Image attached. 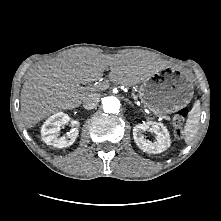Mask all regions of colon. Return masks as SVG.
<instances>
[{"label":"colon","mask_w":221,"mask_h":221,"mask_svg":"<svg viewBox=\"0 0 221 221\" xmlns=\"http://www.w3.org/2000/svg\"><path fill=\"white\" fill-rule=\"evenodd\" d=\"M188 114L187 108L179 109L172 118V124L176 137L181 138L183 136V125Z\"/></svg>","instance_id":"5ec220e1"}]
</instances>
